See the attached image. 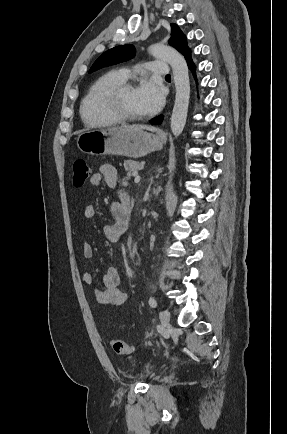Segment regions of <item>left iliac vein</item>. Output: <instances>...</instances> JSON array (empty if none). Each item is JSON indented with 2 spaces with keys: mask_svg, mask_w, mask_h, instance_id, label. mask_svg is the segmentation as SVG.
Returning <instances> with one entry per match:
<instances>
[{
  "mask_svg": "<svg viewBox=\"0 0 287 434\" xmlns=\"http://www.w3.org/2000/svg\"><path fill=\"white\" fill-rule=\"evenodd\" d=\"M160 322L162 327H166L170 321V313L167 309H164L160 312Z\"/></svg>",
  "mask_w": 287,
  "mask_h": 434,
  "instance_id": "left-iliac-vein-1",
  "label": "left iliac vein"
}]
</instances>
